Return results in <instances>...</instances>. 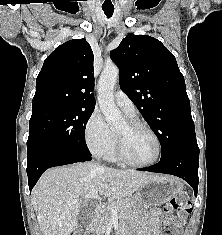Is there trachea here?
<instances>
[{"instance_id":"1","label":"trachea","mask_w":222,"mask_h":235,"mask_svg":"<svg viewBox=\"0 0 222 235\" xmlns=\"http://www.w3.org/2000/svg\"><path fill=\"white\" fill-rule=\"evenodd\" d=\"M102 9L105 15L107 16V18H110L113 15L114 7H110V8L103 7Z\"/></svg>"}]
</instances>
